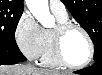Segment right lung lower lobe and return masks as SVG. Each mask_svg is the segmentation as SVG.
<instances>
[{
    "mask_svg": "<svg viewBox=\"0 0 102 75\" xmlns=\"http://www.w3.org/2000/svg\"><path fill=\"white\" fill-rule=\"evenodd\" d=\"M25 60L18 47L0 46V65L16 64Z\"/></svg>",
    "mask_w": 102,
    "mask_h": 75,
    "instance_id": "obj_1",
    "label": "right lung lower lobe"
}]
</instances>
